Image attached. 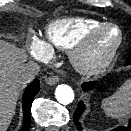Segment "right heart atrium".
I'll return each instance as SVG.
<instances>
[{
  "mask_svg": "<svg viewBox=\"0 0 131 131\" xmlns=\"http://www.w3.org/2000/svg\"><path fill=\"white\" fill-rule=\"evenodd\" d=\"M29 53L38 60H47L51 57L52 51L47 44L37 37H33L29 43Z\"/></svg>",
  "mask_w": 131,
  "mask_h": 131,
  "instance_id": "d8ad5b80",
  "label": "right heart atrium"
}]
</instances>
